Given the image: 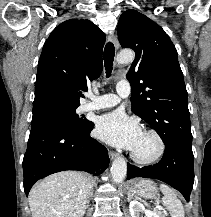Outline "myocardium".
Returning a JSON list of instances; mask_svg holds the SVG:
<instances>
[{
  "instance_id": "obj_1",
  "label": "myocardium",
  "mask_w": 211,
  "mask_h": 217,
  "mask_svg": "<svg viewBox=\"0 0 211 217\" xmlns=\"http://www.w3.org/2000/svg\"><path fill=\"white\" fill-rule=\"evenodd\" d=\"M143 133L149 134L154 137L157 142V151L150 157H141L132 151L131 158L138 164L151 165L158 162L163 157L166 148L165 142L160 133L154 129H145Z\"/></svg>"
}]
</instances>
